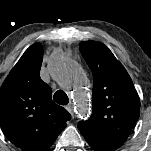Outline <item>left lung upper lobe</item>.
Listing matches in <instances>:
<instances>
[{
    "mask_svg": "<svg viewBox=\"0 0 151 151\" xmlns=\"http://www.w3.org/2000/svg\"><path fill=\"white\" fill-rule=\"evenodd\" d=\"M80 52L94 77L89 120L78 123L82 135L127 139L140 115V99L126 69L103 43L82 41Z\"/></svg>",
    "mask_w": 151,
    "mask_h": 151,
    "instance_id": "obj_1",
    "label": "left lung upper lobe"
}]
</instances>
